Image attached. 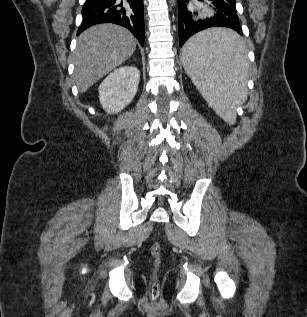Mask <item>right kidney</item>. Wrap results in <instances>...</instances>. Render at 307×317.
<instances>
[{"mask_svg":"<svg viewBox=\"0 0 307 317\" xmlns=\"http://www.w3.org/2000/svg\"><path fill=\"white\" fill-rule=\"evenodd\" d=\"M140 72L134 66H123L110 73L99 86L100 104L107 113H118L136 95Z\"/></svg>","mask_w":307,"mask_h":317,"instance_id":"1","label":"right kidney"}]
</instances>
